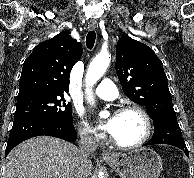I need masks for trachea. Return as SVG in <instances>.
I'll return each mask as SVG.
<instances>
[{
	"instance_id": "obj_1",
	"label": "trachea",
	"mask_w": 194,
	"mask_h": 178,
	"mask_svg": "<svg viewBox=\"0 0 194 178\" xmlns=\"http://www.w3.org/2000/svg\"><path fill=\"white\" fill-rule=\"evenodd\" d=\"M96 33L94 31H90L86 36V45L88 49H92L95 43Z\"/></svg>"
}]
</instances>
